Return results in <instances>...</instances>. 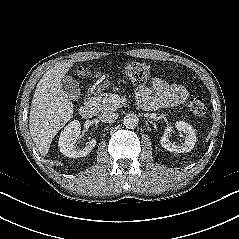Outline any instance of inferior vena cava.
I'll return each instance as SVG.
<instances>
[{
    "label": "inferior vena cava",
    "instance_id": "inferior-vena-cava-1",
    "mask_svg": "<svg viewBox=\"0 0 239 239\" xmlns=\"http://www.w3.org/2000/svg\"><path fill=\"white\" fill-rule=\"evenodd\" d=\"M118 115L113 112H105L99 116V119L104 123H112L117 119Z\"/></svg>",
    "mask_w": 239,
    "mask_h": 239
}]
</instances>
